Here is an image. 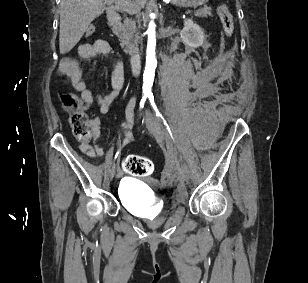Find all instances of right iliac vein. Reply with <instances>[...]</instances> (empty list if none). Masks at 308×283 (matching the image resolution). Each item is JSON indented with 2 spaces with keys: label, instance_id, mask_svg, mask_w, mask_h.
Returning <instances> with one entry per match:
<instances>
[{
  "label": "right iliac vein",
  "instance_id": "1",
  "mask_svg": "<svg viewBox=\"0 0 308 283\" xmlns=\"http://www.w3.org/2000/svg\"><path fill=\"white\" fill-rule=\"evenodd\" d=\"M115 172H116V165L114 164V165L111 167V169H110V177H111V179L114 177Z\"/></svg>",
  "mask_w": 308,
  "mask_h": 283
}]
</instances>
